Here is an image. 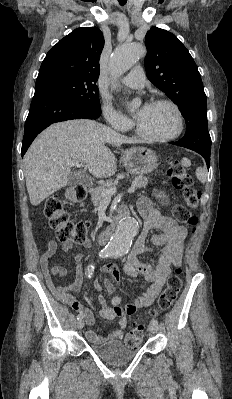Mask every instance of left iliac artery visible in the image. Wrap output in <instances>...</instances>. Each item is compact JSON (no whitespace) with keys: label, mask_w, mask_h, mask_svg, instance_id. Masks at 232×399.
I'll return each mask as SVG.
<instances>
[{"label":"left iliac artery","mask_w":232,"mask_h":399,"mask_svg":"<svg viewBox=\"0 0 232 399\" xmlns=\"http://www.w3.org/2000/svg\"><path fill=\"white\" fill-rule=\"evenodd\" d=\"M112 255H114V254H112ZM151 324H152V325H157V324H158V321H157L156 319H152V320H151Z\"/></svg>","instance_id":"44dca946"}]
</instances>
